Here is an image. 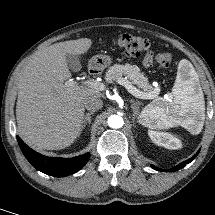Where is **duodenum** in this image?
<instances>
[{"instance_id": "obj_1", "label": "duodenum", "mask_w": 215, "mask_h": 215, "mask_svg": "<svg viewBox=\"0 0 215 215\" xmlns=\"http://www.w3.org/2000/svg\"><path fill=\"white\" fill-rule=\"evenodd\" d=\"M89 73H90V74H96V73H97V70L95 69V67L91 66V67L89 68Z\"/></svg>"}]
</instances>
